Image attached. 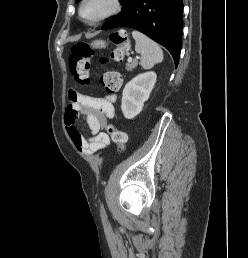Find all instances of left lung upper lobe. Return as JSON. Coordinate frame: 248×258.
I'll return each instance as SVG.
<instances>
[{
  "mask_svg": "<svg viewBox=\"0 0 248 258\" xmlns=\"http://www.w3.org/2000/svg\"><path fill=\"white\" fill-rule=\"evenodd\" d=\"M80 0H76V3H78ZM120 1V3H121V5H122V8H124L127 4H128V2L130 1V0H119Z\"/></svg>",
  "mask_w": 248,
  "mask_h": 258,
  "instance_id": "obj_1",
  "label": "left lung upper lobe"
}]
</instances>
